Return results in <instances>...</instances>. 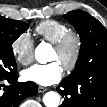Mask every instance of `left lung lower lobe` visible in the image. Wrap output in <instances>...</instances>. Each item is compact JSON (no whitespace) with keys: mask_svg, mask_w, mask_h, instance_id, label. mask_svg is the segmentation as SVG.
Returning a JSON list of instances; mask_svg holds the SVG:
<instances>
[{"mask_svg":"<svg viewBox=\"0 0 107 107\" xmlns=\"http://www.w3.org/2000/svg\"><path fill=\"white\" fill-rule=\"evenodd\" d=\"M80 87L84 90L83 107H107V77L99 76L82 82ZM57 91L64 97L60 107H68L67 96L74 94L75 88L62 81Z\"/></svg>","mask_w":107,"mask_h":107,"instance_id":"obj_1","label":"left lung lower lobe"}]
</instances>
